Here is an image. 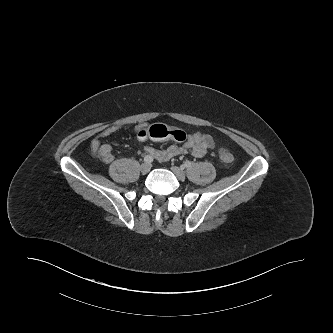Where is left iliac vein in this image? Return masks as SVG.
<instances>
[{"instance_id": "1", "label": "left iliac vein", "mask_w": 333, "mask_h": 333, "mask_svg": "<svg viewBox=\"0 0 333 333\" xmlns=\"http://www.w3.org/2000/svg\"><path fill=\"white\" fill-rule=\"evenodd\" d=\"M171 170L179 180L183 181L185 179L186 177L185 172L180 167L173 166Z\"/></svg>"}]
</instances>
